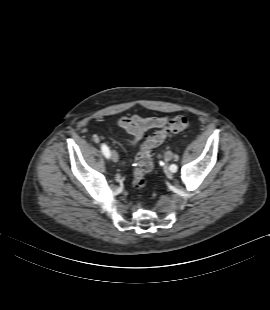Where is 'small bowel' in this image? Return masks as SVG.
Returning a JSON list of instances; mask_svg holds the SVG:
<instances>
[{"mask_svg":"<svg viewBox=\"0 0 270 310\" xmlns=\"http://www.w3.org/2000/svg\"><path fill=\"white\" fill-rule=\"evenodd\" d=\"M119 127L124 129L131 138L124 140L128 144H136L145 135V133L152 129H160L167 125L168 117H142L137 114L130 116H121L117 121Z\"/></svg>","mask_w":270,"mask_h":310,"instance_id":"small-bowel-1","label":"small bowel"}]
</instances>
